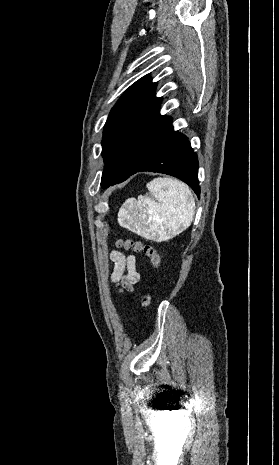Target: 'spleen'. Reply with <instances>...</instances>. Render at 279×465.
<instances>
[{
    "label": "spleen",
    "mask_w": 279,
    "mask_h": 465,
    "mask_svg": "<svg viewBox=\"0 0 279 465\" xmlns=\"http://www.w3.org/2000/svg\"><path fill=\"white\" fill-rule=\"evenodd\" d=\"M150 196L129 198L118 212V223L146 239L169 240L186 230L195 214L194 197L184 183L164 177L146 185Z\"/></svg>",
    "instance_id": "spleen-1"
}]
</instances>
